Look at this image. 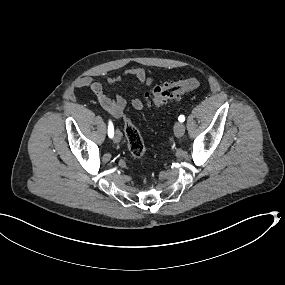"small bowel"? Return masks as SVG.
Masks as SVG:
<instances>
[{
    "label": "small bowel",
    "mask_w": 285,
    "mask_h": 285,
    "mask_svg": "<svg viewBox=\"0 0 285 285\" xmlns=\"http://www.w3.org/2000/svg\"><path fill=\"white\" fill-rule=\"evenodd\" d=\"M127 75L135 79L139 85L146 88L152 84V79L148 77L142 68H132L127 71ZM105 81L111 86H117L120 82L119 76H104ZM77 86L81 88H88L97 98L101 107L113 118L120 119L126 109V99L121 95L114 97L107 96L103 91L101 82L96 81L90 77H82L77 81ZM143 102L139 98L132 100V107L135 110L143 109Z\"/></svg>",
    "instance_id": "small-bowel-1"
}]
</instances>
